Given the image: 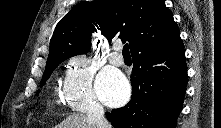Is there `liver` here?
Instances as JSON below:
<instances>
[{"instance_id": "6515ba94", "label": "liver", "mask_w": 221, "mask_h": 128, "mask_svg": "<svg viewBox=\"0 0 221 128\" xmlns=\"http://www.w3.org/2000/svg\"><path fill=\"white\" fill-rule=\"evenodd\" d=\"M96 125L82 113L67 116L56 128H96Z\"/></svg>"}]
</instances>
